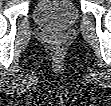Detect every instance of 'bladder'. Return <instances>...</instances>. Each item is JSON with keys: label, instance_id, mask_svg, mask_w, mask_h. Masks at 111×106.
<instances>
[{"label": "bladder", "instance_id": "31cf9c89", "mask_svg": "<svg viewBox=\"0 0 111 106\" xmlns=\"http://www.w3.org/2000/svg\"><path fill=\"white\" fill-rule=\"evenodd\" d=\"M80 16L70 0H41L33 9L34 20L42 27L64 30L76 24Z\"/></svg>", "mask_w": 111, "mask_h": 106}]
</instances>
